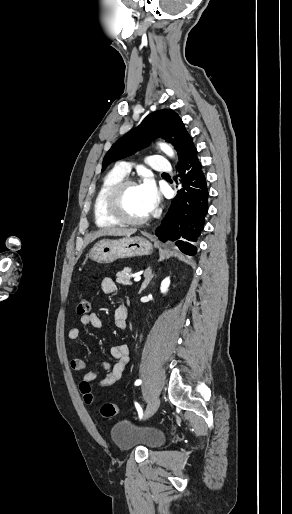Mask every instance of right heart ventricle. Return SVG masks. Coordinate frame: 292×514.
<instances>
[{
    "instance_id": "e07e8e85",
    "label": "right heart ventricle",
    "mask_w": 292,
    "mask_h": 514,
    "mask_svg": "<svg viewBox=\"0 0 292 514\" xmlns=\"http://www.w3.org/2000/svg\"><path fill=\"white\" fill-rule=\"evenodd\" d=\"M125 176L120 175L116 170L109 172L102 180L93 198V217L98 227H110L116 224L114 220L107 216L104 211L103 199L106 191L116 183L124 180Z\"/></svg>"
}]
</instances>
